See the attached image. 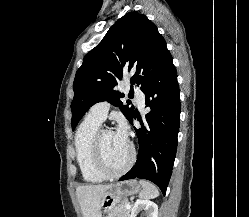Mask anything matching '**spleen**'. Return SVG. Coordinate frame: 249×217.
<instances>
[{
	"instance_id": "3e777b00",
	"label": "spleen",
	"mask_w": 249,
	"mask_h": 217,
	"mask_svg": "<svg viewBox=\"0 0 249 217\" xmlns=\"http://www.w3.org/2000/svg\"><path fill=\"white\" fill-rule=\"evenodd\" d=\"M139 183L143 188L139 194L140 198L150 199L159 196V191L157 187L151 182L140 180Z\"/></svg>"
}]
</instances>
